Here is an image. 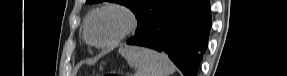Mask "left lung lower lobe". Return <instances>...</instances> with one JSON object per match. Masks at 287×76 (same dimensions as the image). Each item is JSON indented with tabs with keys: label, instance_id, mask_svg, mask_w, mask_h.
<instances>
[{
	"label": "left lung lower lobe",
	"instance_id": "obj_1",
	"mask_svg": "<svg viewBox=\"0 0 287 76\" xmlns=\"http://www.w3.org/2000/svg\"><path fill=\"white\" fill-rule=\"evenodd\" d=\"M210 27L209 0H175L127 44L166 53L184 76H197Z\"/></svg>",
	"mask_w": 287,
	"mask_h": 76
}]
</instances>
